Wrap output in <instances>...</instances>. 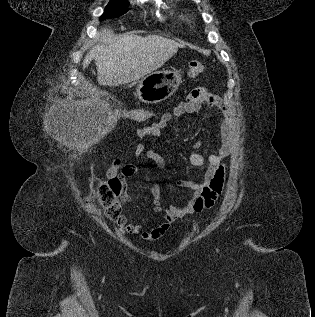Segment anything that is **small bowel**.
<instances>
[{
	"instance_id": "obj_1",
	"label": "small bowel",
	"mask_w": 315,
	"mask_h": 317,
	"mask_svg": "<svg viewBox=\"0 0 315 317\" xmlns=\"http://www.w3.org/2000/svg\"><path fill=\"white\" fill-rule=\"evenodd\" d=\"M204 106L215 108L223 116L220 125V143L216 153L204 156L201 153L194 152L190 155L189 161L193 166L198 168L206 167V171L200 182L177 179L179 186L192 191L193 196L191 200L183 206L171 205L164 208L161 200L160 186L155 179H152L149 190L152 196L153 211L163 213L162 221L157 226L148 229L140 223L132 222L131 218L122 217L119 225L123 231L137 235L143 240L156 241L165 236L174 221L193 213L202 212L214 205L215 200L222 191L225 174L223 160L231 153L233 138V124L229 109L219 98L210 93L206 88H197L190 93L185 101L178 104L172 112H165L158 121L138 128L136 134L139 138L159 137L174 117L199 112ZM201 145L200 142H196L194 147L199 148ZM132 154L137 158H147L153 161L161 169L165 167L164 158L142 143L134 145ZM137 171V166L123 165L119 158L114 159L106 171L108 181H119L121 186L120 196L125 201L132 200V196L128 193L127 180L137 173Z\"/></svg>"
}]
</instances>
